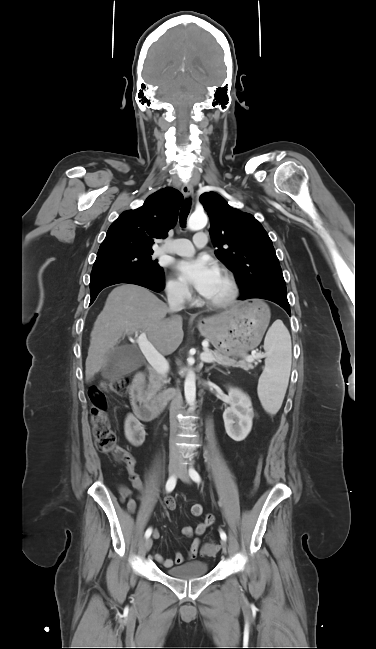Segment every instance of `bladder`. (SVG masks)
I'll return each mask as SVG.
<instances>
[{"label": "bladder", "mask_w": 376, "mask_h": 649, "mask_svg": "<svg viewBox=\"0 0 376 649\" xmlns=\"http://www.w3.org/2000/svg\"><path fill=\"white\" fill-rule=\"evenodd\" d=\"M209 572V566L205 562L195 561L185 565L172 567L166 573L176 579L191 580L203 577Z\"/></svg>", "instance_id": "1"}]
</instances>
